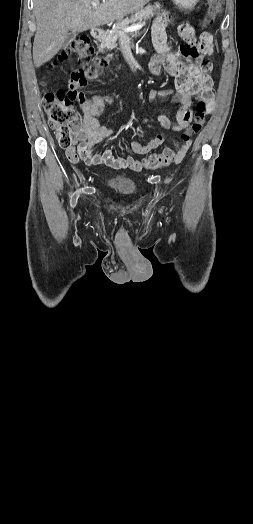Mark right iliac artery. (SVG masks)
I'll return each instance as SVG.
<instances>
[{
  "label": "right iliac artery",
  "mask_w": 253,
  "mask_h": 524,
  "mask_svg": "<svg viewBox=\"0 0 253 524\" xmlns=\"http://www.w3.org/2000/svg\"><path fill=\"white\" fill-rule=\"evenodd\" d=\"M76 202H77V199L76 198H73L71 200V206L74 207L76 205Z\"/></svg>",
  "instance_id": "right-iliac-artery-1"
}]
</instances>
